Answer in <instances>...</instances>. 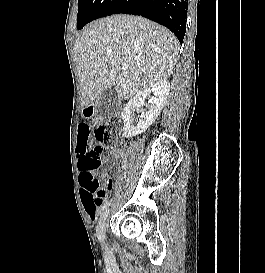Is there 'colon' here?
I'll return each mask as SVG.
<instances>
[{
	"label": "colon",
	"instance_id": "1",
	"mask_svg": "<svg viewBox=\"0 0 265 273\" xmlns=\"http://www.w3.org/2000/svg\"><path fill=\"white\" fill-rule=\"evenodd\" d=\"M85 124V123H83ZM120 119L111 118L95 129H78L77 153L80 156L79 169L83 192L105 195V189L111 187L110 181L104 184L97 178L100 166V144L109 143L118 133Z\"/></svg>",
	"mask_w": 265,
	"mask_h": 273
}]
</instances>
